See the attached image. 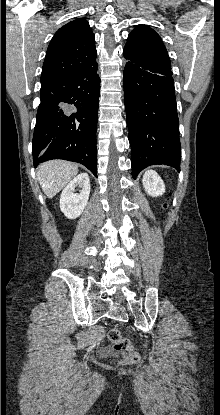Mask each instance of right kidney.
I'll return each mask as SVG.
<instances>
[{
    "instance_id": "ca27d5eb",
    "label": "right kidney",
    "mask_w": 220,
    "mask_h": 415,
    "mask_svg": "<svg viewBox=\"0 0 220 415\" xmlns=\"http://www.w3.org/2000/svg\"><path fill=\"white\" fill-rule=\"evenodd\" d=\"M80 187V193H74ZM90 194V179L87 173L76 176L64 188L60 197V209L69 219L79 217L85 209Z\"/></svg>"
}]
</instances>
